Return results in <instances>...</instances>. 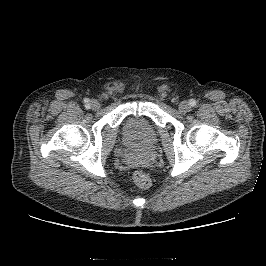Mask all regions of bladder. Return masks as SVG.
I'll return each mask as SVG.
<instances>
[{"label": "bladder", "mask_w": 266, "mask_h": 266, "mask_svg": "<svg viewBox=\"0 0 266 266\" xmlns=\"http://www.w3.org/2000/svg\"><path fill=\"white\" fill-rule=\"evenodd\" d=\"M125 141L132 147L148 150L157 142V132L150 120L145 117L127 118L122 125Z\"/></svg>", "instance_id": "bladder-1"}]
</instances>
